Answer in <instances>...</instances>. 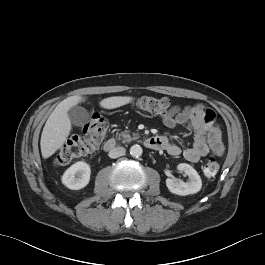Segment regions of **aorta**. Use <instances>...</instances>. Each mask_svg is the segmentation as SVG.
Wrapping results in <instances>:
<instances>
[{"label":"aorta","instance_id":"aorta-1","mask_svg":"<svg viewBox=\"0 0 265 265\" xmlns=\"http://www.w3.org/2000/svg\"><path fill=\"white\" fill-rule=\"evenodd\" d=\"M143 153V149L140 145L135 144L130 148V154L132 157H140Z\"/></svg>","mask_w":265,"mask_h":265}]
</instances>
